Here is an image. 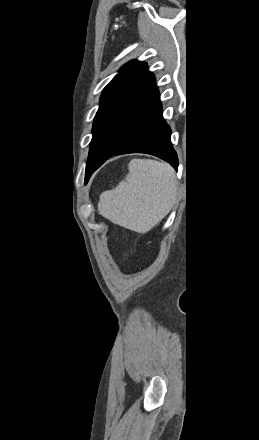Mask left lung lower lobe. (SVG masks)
Returning <instances> with one entry per match:
<instances>
[{
    "mask_svg": "<svg viewBox=\"0 0 259 440\" xmlns=\"http://www.w3.org/2000/svg\"><path fill=\"white\" fill-rule=\"evenodd\" d=\"M171 129L162 116L155 77L122 119L97 158L93 172L108 158L127 153H146L170 163L176 170L178 158L171 143Z\"/></svg>",
    "mask_w": 259,
    "mask_h": 440,
    "instance_id": "0a47b994",
    "label": "left lung lower lobe"
}]
</instances>
